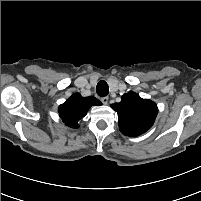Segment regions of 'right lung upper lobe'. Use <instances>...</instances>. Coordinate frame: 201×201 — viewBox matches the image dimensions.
<instances>
[{
	"label": "right lung upper lobe",
	"mask_w": 201,
	"mask_h": 201,
	"mask_svg": "<svg viewBox=\"0 0 201 201\" xmlns=\"http://www.w3.org/2000/svg\"><path fill=\"white\" fill-rule=\"evenodd\" d=\"M102 103L93 96L82 97L79 93L73 94L58 108L59 115L65 125L78 128V121L86 115L91 106H99Z\"/></svg>",
	"instance_id": "cb5924a9"
}]
</instances>
